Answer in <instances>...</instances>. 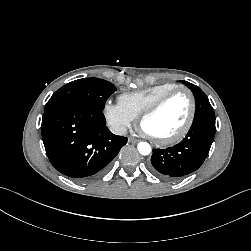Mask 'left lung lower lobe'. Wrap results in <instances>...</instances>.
<instances>
[{"label":"left lung lower lobe","instance_id":"left-lung-lower-lobe-1","mask_svg":"<svg viewBox=\"0 0 251 251\" xmlns=\"http://www.w3.org/2000/svg\"><path fill=\"white\" fill-rule=\"evenodd\" d=\"M214 136L215 118L193 120L180 143L166 149H153L150 170L167 180H176L196 171L206 159Z\"/></svg>","mask_w":251,"mask_h":251}]
</instances>
